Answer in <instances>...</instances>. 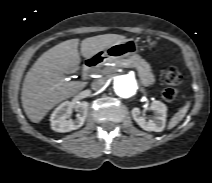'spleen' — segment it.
I'll list each match as a JSON object with an SVG mask.
<instances>
[{
  "mask_svg": "<svg viewBox=\"0 0 212 183\" xmlns=\"http://www.w3.org/2000/svg\"><path fill=\"white\" fill-rule=\"evenodd\" d=\"M190 101H186L185 105L181 107L178 112L171 118L168 129L174 128L186 115L190 107Z\"/></svg>",
  "mask_w": 212,
  "mask_h": 183,
  "instance_id": "spleen-1",
  "label": "spleen"
}]
</instances>
